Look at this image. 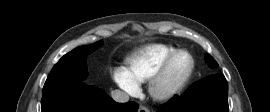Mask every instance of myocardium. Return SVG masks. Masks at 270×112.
<instances>
[{
    "instance_id": "obj_1",
    "label": "myocardium",
    "mask_w": 270,
    "mask_h": 112,
    "mask_svg": "<svg viewBox=\"0 0 270 112\" xmlns=\"http://www.w3.org/2000/svg\"><path fill=\"white\" fill-rule=\"evenodd\" d=\"M180 53H185L189 56L190 67L184 76L171 88L161 89V84L164 79V76L170 66L172 60ZM196 67V62L192 53L187 49H175L173 52L168 54L165 59L162 61L160 66L154 72V74L148 80V94L153 101L156 102H167L178 96L184 88L190 82Z\"/></svg>"
}]
</instances>
